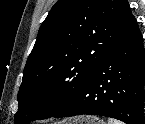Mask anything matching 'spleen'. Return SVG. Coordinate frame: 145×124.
I'll use <instances>...</instances> for the list:
<instances>
[{
    "mask_svg": "<svg viewBox=\"0 0 145 124\" xmlns=\"http://www.w3.org/2000/svg\"><path fill=\"white\" fill-rule=\"evenodd\" d=\"M108 124H123V123L115 119H108Z\"/></svg>",
    "mask_w": 145,
    "mask_h": 124,
    "instance_id": "1",
    "label": "spleen"
}]
</instances>
